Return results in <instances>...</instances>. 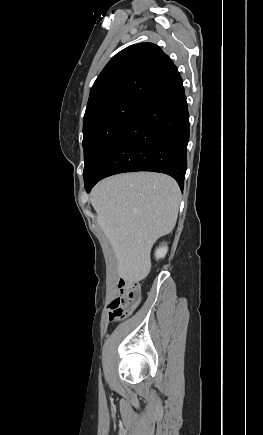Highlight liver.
<instances>
[{
    "instance_id": "1",
    "label": "liver",
    "mask_w": 263,
    "mask_h": 435,
    "mask_svg": "<svg viewBox=\"0 0 263 435\" xmlns=\"http://www.w3.org/2000/svg\"><path fill=\"white\" fill-rule=\"evenodd\" d=\"M180 195L173 178L152 172L112 176L93 188L90 201L120 278L139 282L149 274L152 246L175 227Z\"/></svg>"
}]
</instances>
